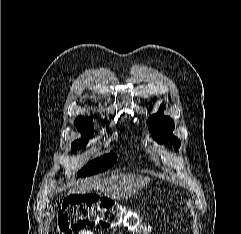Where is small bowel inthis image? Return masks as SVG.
<instances>
[{
  "mask_svg": "<svg viewBox=\"0 0 241 234\" xmlns=\"http://www.w3.org/2000/svg\"><path fill=\"white\" fill-rule=\"evenodd\" d=\"M78 234H93V233L88 230H81V231H79Z\"/></svg>",
  "mask_w": 241,
  "mask_h": 234,
  "instance_id": "1",
  "label": "small bowel"
}]
</instances>
